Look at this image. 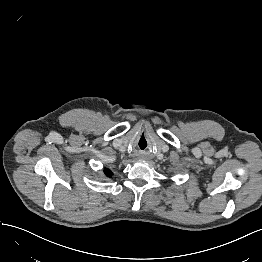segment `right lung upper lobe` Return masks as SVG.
<instances>
[{
  "label": "right lung upper lobe",
  "mask_w": 262,
  "mask_h": 262,
  "mask_svg": "<svg viewBox=\"0 0 262 262\" xmlns=\"http://www.w3.org/2000/svg\"><path fill=\"white\" fill-rule=\"evenodd\" d=\"M104 173L106 174V176H111V174H112L111 171L108 170V169H105Z\"/></svg>",
  "instance_id": "obj_1"
}]
</instances>
